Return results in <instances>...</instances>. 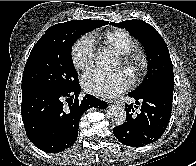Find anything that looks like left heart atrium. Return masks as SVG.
Here are the masks:
<instances>
[{
  "label": "left heart atrium",
  "mask_w": 196,
  "mask_h": 166,
  "mask_svg": "<svg viewBox=\"0 0 196 166\" xmlns=\"http://www.w3.org/2000/svg\"><path fill=\"white\" fill-rule=\"evenodd\" d=\"M132 83V77L126 70L104 71L92 69L82 77L84 89L88 93L102 97H112L124 92Z\"/></svg>",
  "instance_id": "39dd6f15"
}]
</instances>
